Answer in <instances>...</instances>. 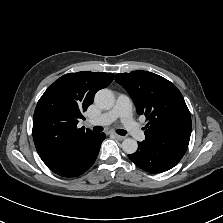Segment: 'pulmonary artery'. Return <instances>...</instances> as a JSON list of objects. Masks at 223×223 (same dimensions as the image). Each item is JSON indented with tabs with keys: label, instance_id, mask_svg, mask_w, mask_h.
<instances>
[{
	"label": "pulmonary artery",
	"instance_id": "obj_1",
	"mask_svg": "<svg viewBox=\"0 0 223 223\" xmlns=\"http://www.w3.org/2000/svg\"><path fill=\"white\" fill-rule=\"evenodd\" d=\"M117 119H121L127 130L131 132L133 138L139 140L145 139V132L139 131L138 125L132 119V102L125 94H118L112 109L96 118L90 119L89 124L94 126H106Z\"/></svg>",
	"mask_w": 223,
	"mask_h": 223
}]
</instances>
